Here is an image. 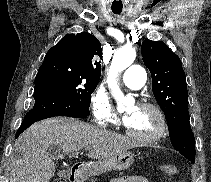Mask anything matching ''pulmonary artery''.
<instances>
[{
  "label": "pulmonary artery",
  "instance_id": "e3ab8cb5",
  "mask_svg": "<svg viewBox=\"0 0 211 182\" xmlns=\"http://www.w3.org/2000/svg\"><path fill=\"white\" fill-rule=\"evenodd\" d=\"M145 70L139 65L129 66L123 73L124 84L131 89H140L145 83Z\"/></svg>",
  "mask_w": 211,
  "mask_h": 182
}]
</instances>
